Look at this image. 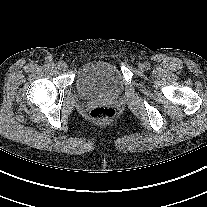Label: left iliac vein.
Returning a JSON list of instances; mask_svg holds the SVG:
<instances>
[{"instance_id":"obj_1","label":"left iliac vein","mask_w":207,"mask_h":207,"mask_svg":"<svg viewBox=\"0 0 207 207\" xmlns=\"http://www.w3.org/2000/svg\"><path fill=\"white\" fill-rule=\"evenodd\" d=\"M138 67L141 69V70H145L147 67H146V64L144 63H139L138 64Z\"/></svg>"}]
</instances>
